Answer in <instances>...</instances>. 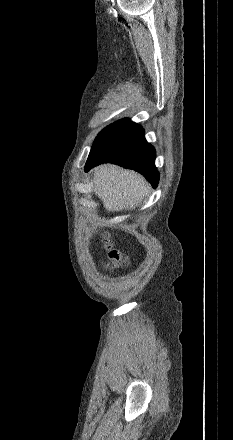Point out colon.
I'll return each mask as SVG.
<instances>
[{"label": "colon", "mask_w": 233, "mask_h": 440, "mask_svg": "<svg viewBox=\"0 0 233 440\" xmlns=\"http://www.w3.org/2000/svg\"><path fill=\"white\" fill-rule=\"evenodd\" d=\"M104 248L108 253L109 263L108 266L111 268H117L125 264V258L113 247L111 239L106 236L103 240Z\"/></svg>", "instance_id": "1"}]
</instances>
